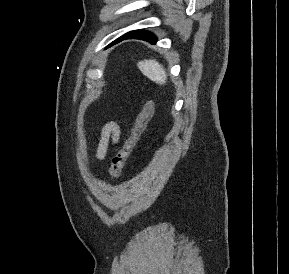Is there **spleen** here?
I'll list each match as a JSON object with an SVG mask.
<instances>
[{"label": "spleen", "instance_id": "spleen-1", "mask_svg": "<svg viewBox=\"0 0 289 274\" xmlns=\"http://www.w3.org/2000/svg\"><path fill=\"white\" fill-rule=\"evenodd\" d=\"M140 71L151 81L163 85L166 83L167 74L164 67L156 60H144L137 64Z\"/></svg>", "mask_w": 289, "mask_h": 274}]
</instances>
